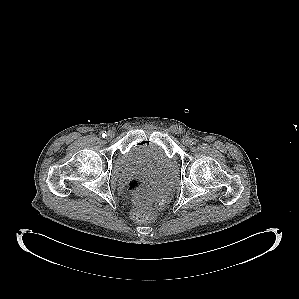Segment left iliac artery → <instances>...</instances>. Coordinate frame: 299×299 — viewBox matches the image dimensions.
I'll use <instances>...</instances> for the list:
<instances>
[{
    "mask_svg": "<svg viewBox=\"0 0 299 299\" xmlns=\"http://www.w3.org/2000/svg\"><path fill=\"white\" fill-rule=\"evenodd\" d=\"M197 143V140L195 138L191 139V145H195Z\"/></svg>",
    "mask_w": 299,
    "mask_h": 299,
    "instance_id": "obj_1",
    "label": "left iliac artery"
}]
</instances>
